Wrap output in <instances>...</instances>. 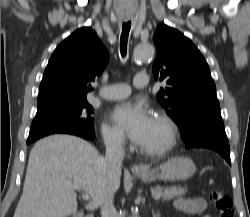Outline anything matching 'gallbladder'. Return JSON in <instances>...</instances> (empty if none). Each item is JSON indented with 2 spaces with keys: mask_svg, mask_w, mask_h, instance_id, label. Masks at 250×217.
Wrapping results in <instances>:
<instances>
[{
  "mask_svg": "<svg viewBox=\"0 0 250 217\" xmlns=\"http://www.w3.org/2000/svg\"><path fill=\"white\" fill-rule=\"evenodd\" d=\"M74 217H79L78 214H75Z\"/></svg>",
  "mask_w": 250,
  "mask_h": 217,
  "instance_id": "1",
  "label": "gallbladder"
}]
</instances>
